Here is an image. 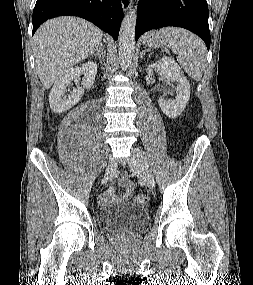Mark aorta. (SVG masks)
<instances>
[{"label":"aorta","mask_w":253,"mask_h":285,"mask_svg":"<svg viewBox=\"0 0 253 285\" xmlns=\"http://www.w3.org/2000/svg\"><path fill=\"white\" fill-rule=\"evenodd\" d=\"M137 9L132 8L124 16L119 31V59L123 67L132 61L135 51V27Z\"/></svg>","instance_id":"obj_1"}]
</instances>
